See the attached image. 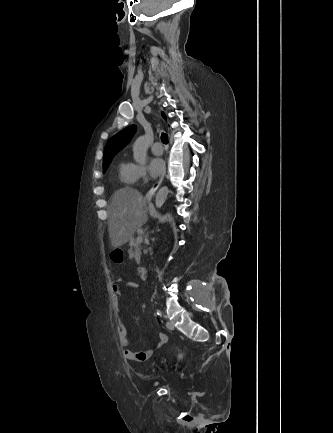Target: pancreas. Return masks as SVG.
Segmentation results:
<instances>
[{
  "label": "pancreas",
  "instance_id": "obj_1",
  "mask_svg": "<svg viewBox=\"0 0 333 433\" xmlns=\"http://www.w3.org/2000/svg\"><path fill=\"white\" fill-rule=\"evenodd\" d=\"M129 244H130L129 257L131 259H135V262L139 264L140 257H141V250H142L141 243H138L137 239L132 238Z\"/></svg>",
  "mask_w": 333,
  "mask_h": 433
}]
</instances>
